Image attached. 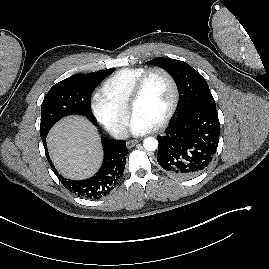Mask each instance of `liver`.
<instances>
[{
	"instance_id": "liver-1",
	"label": "liver",
	"mask_w": 269,
	"mask_h": 269,
	"mask_svg": "<svg viewBox=\"0 0 269 269\" xmlns=\"http://www.w3.org/2000/svg\"><path fill=\"white\" fill-rule=\"evenodd\" d=\"M47 144L56 168L68 178H87L100 165L99 137L96 128L84 117L61 120L50 131Z\"/></svg>"
}]
</instances>
